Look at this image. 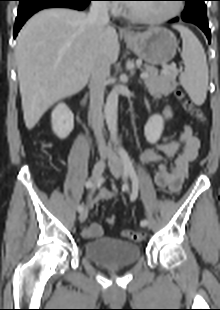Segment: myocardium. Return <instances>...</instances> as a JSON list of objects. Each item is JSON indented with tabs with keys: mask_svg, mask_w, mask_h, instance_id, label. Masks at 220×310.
Here are the masks:
<instances>
[{
	"mask_svg": "<svg viewBox=\"0 0 220 310\" xmlns=\"http://www.w3.org/2000/svg\"><path fill=\"white\" fill-rule=\"evenodd\" d=\"M181 10H182L181 6L178 3H175L170 13L162 17L150 18V17L142 16V15H139V14H136L130 11L128 8L124 10V14L127 15L133 21L143 23V24L157 25V24L168 22L172 20L173 18L177 17L180 14Z\"/></svg>",
	"mask_w": 220,
	"mask_h": 310,
	"instance_id": "myocardium-1",
	"label": "myocardium"
}]
</instances>
